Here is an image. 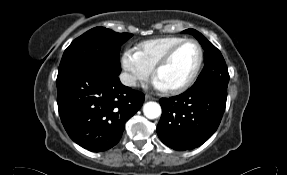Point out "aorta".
<instances>
[{
    "label": "aorta",
    "instance_id": "obj_1",
    "mask_svg": "<svg viewBox=\"0 0 287 175\" xmlns=\"http://www.w3.org/2000/svg\"><path fill=\"white\" fill-rule=\"evenodd\" d=\"M143 113L148 119H156L161 115V107L156 102H147L143 106Z\"/></svg>",
    "mask_w": 287,
    "mask_h": 175
}]
</instances>
